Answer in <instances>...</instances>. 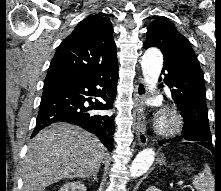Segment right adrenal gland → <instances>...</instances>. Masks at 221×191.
<instances>
[{"label": "right adrenal gland", "mask_w": 221, "mask_h": 191, "mask_svg": "<svg viewBox=\"0 0 221 191\" xmlns=\"http://www.w3.org/2000/svg\"><path fill=\"white\" fill-rule=\"evenodd\" d=\"M91 177H92L96 182H98L97 172L92 173L91 175H88V176H86L85 178L90 179Z\"/></svg>", "instance_id": "2a0ac1e0"}]
</instances>
